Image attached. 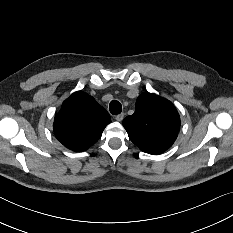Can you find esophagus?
I'll use <instances>...</instances> for the list:
<instances>
[{"instance_id": "obj_1", "label": "esophagus", "mask_w": 233, "mask_h": 233, "mask_svg": "<svg viewBox=\"0 0 233 233\" xmlns=\"http://www.w3.org/2000/svg\"><path fill=\"white\" fill-rule=\"evenodd\" d=\"M123 118H124V113H120L115 117L117 121H122Z\"/></svg>"}]
</instances>
